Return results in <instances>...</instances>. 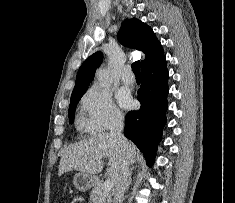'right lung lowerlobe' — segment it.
Returning a JSON list of instances; mask_svg holds the SVG:
<instances>
[{
	"label": "right lung lower lobe",
	"instance_id": "right-lung-lower-lobe-1",
	"mask_svg": "<svg viewBox=\"0 0 235 203\" xmlns=\"http://www.w3.org/2000/svg\"><path fill=\"white\" fill-rule=\"evenodd\" d=\"M141 70L142 83L138 90L141 107L126 114L124 135L140 149L147 164L152 166L166 123L169 88L165 56Z\"/></svg>",
	"mask_w": 235,
	"mask_h": 203
}]
</instances>
